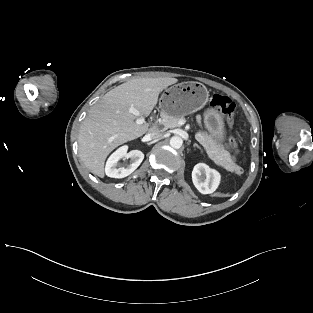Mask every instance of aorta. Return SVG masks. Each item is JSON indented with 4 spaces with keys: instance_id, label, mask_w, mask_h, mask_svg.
<instances>
[{
    "instance_id": "762f6f07",
    "label": "aorta",
    "mask_w": 313,
    "mask_h": 313,
    "mask_svg": "<svg viewBox=\"0 0 313 313\" xmlns=\"http://www.w3.org/2000/svg\"><path fill=\"white\" fill-rule=\"evenodd\" d=\"M182 144H183V140L181 137H179V136L171 137L170 146L172 148L179 149V148H181Z\"/></svg>"
}]
</instances>
